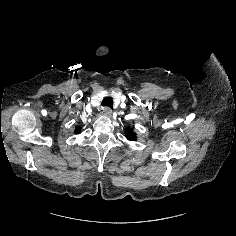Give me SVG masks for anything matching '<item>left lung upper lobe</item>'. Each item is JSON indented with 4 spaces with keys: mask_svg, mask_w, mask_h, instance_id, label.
I'll use <instances>...</instances> for the list:
<instances>
[{
    "mask_svg": "<svg viewBox=\"0 0 236 236\" xmlns=\"http://www.w3.org/2000/svg\"><path fill=\"white\" fill-rule=\"evenodd\" d=\"M126 138L130 141L136 140V134L133 132L132 128H126Z\"/></svg>",
    "mask_w": 236,
    "mask_h": 236,
    "instance_id": "left-lung-upper-lobe-1",
    "label": "left lung upper lobe"
}]
</instances>
